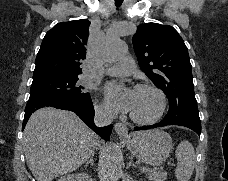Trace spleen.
<instances>
[{
    "mask_svg": "<svg viewBox=\"0 0 228 181\" xmlns=\"http://www.w3.org/2000/svg\"><path fill=\"white\" fill-rule=\"evenodd\" d=\"M176 159L178 161L175 169V177L177 181H189L193 175L195 167V151L189 141H181L176 151Z\"/></svg>",
    "mask_w": 228,
    "mask_h": 181,
    "instance_id": "3e777b00",
    "label": "spleen"
}]
</instances>
